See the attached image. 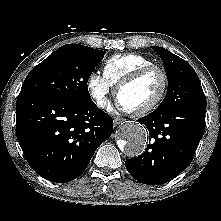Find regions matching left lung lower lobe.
<instances>
[{
	"instance_id": "1",
	"label": "left lung lower lobe",
	"mask_w": 221,
	"mask_h": 221,
	"mask_svg": "<svg viewBox=\"0 0 221 221\" xmlns=\"http://www.w3.org/2000/svg\"><path fill=\"white\" fill-rule=\"evenodd\" d=\"M206 106L189 105L172 110L156 109L139 122L149 130L146 151L126 160L128 172L149 185L166 183L193 159L204 134Z\"/></svg>"
}]
</instances>
